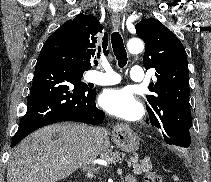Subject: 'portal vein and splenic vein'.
<instances>
[{"label": "portal vein and splenic vein", "instance_id": "18ae733b", "mask_svg": "<svg viewBox=\"0 0 211 182\" xmlns=\"http://www.w3.org/2000/svg\"><path fill=\"white\" fill-rule=\"evenodd\" d=\"M117 172H118V174H122V170L121 169H118Z\"/></svg>", "mask_w": 211, "mask_h": 182}]
</instances>
